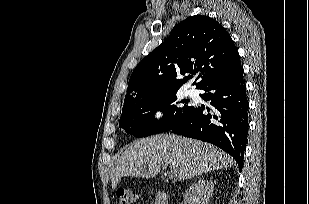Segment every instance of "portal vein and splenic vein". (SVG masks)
I'll use <instances>...</instances> for the list:
<instances>
[{
    "label": "portal vein and splenic vein",
    "instance_id": "1",
    "mask_svg": "<svg viewBox=\"0 0 309 204\" xmlns=\"http://www.w3.org/2000/svg\"><path fill=\"white\" fill-rule=\"evenodd\" d=\"M163 167L164 168H166V166L165 165H163ZM168 175H169V177H171V178H174V177H176L177 175H176V172L175 171H170V172H168Z\"/></svg>",
    "mask_w": 309,
    "mask_h": 204
}]
</instances>
